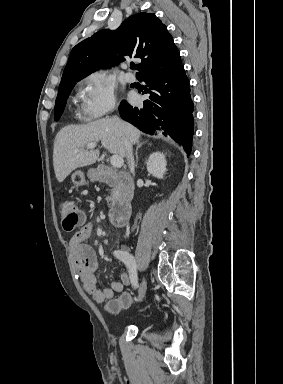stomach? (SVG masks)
<instances>
[{"mask_svg": "<svg viewBox=\"0 0 283 384\" xmlns=\"http://www.w3.org/2000/svg\"><path fill=\"white\" fill-rule=\"evenodd\" d=\"M88 178H91V180H94L93 170H89ZM72 182H74V184H77V186H84L85 178H84L83 172H75V174H73L72 176Z\"/></svg>", "mask_w": 283, "mask_h": 384, "instance_id": "1", "label": "stomach"}]
</instances>
